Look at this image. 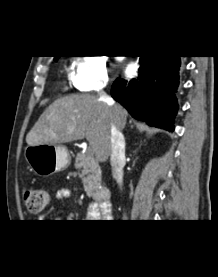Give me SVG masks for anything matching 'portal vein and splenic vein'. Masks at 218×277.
Wrapping results in <instances>:
<instances>
[{
  "instance_id": "18ae733b",
  "label": "portal vein and splenic vein",
  "mask_w": 218,
  "mask_h": 277,
  "mask_svg": "<svg viewBox=\"0 0 218 277\" xmlns=\"http://www.w3.org/2000/svg\"><path fill=\"white\" fill-rule=\"evenodd\" d=\"M87 152L90 153V154H93V151H92L91 148H88Z\"/></svg>"
}]
</instances>
